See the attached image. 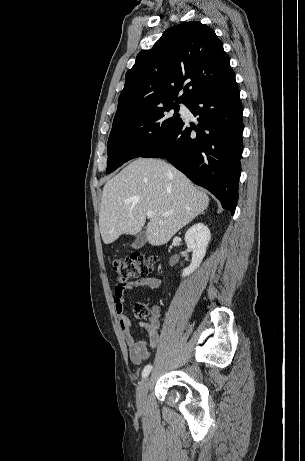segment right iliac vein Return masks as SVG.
<instances>
[{
	"label": "right iliac vein",
	"instance_id": "right-iliac-vein-1",
	"mask_svg": "<svg viewBox=\"0 0 305 461\" xmlns=\"http://www.w3.org/2000/svg\"><path fill=\"white\" fill-rule=\"evenodd\" d=\"M149 388V378H145L139 384L136 391V402L138 408L142 409L146 403V396Z\"/></svg>",
	"mask_w": 305,
	"mask_h": 461
}]
</instances>
